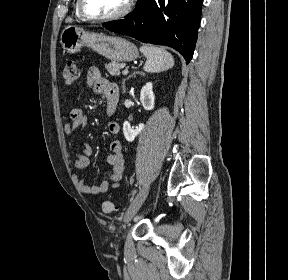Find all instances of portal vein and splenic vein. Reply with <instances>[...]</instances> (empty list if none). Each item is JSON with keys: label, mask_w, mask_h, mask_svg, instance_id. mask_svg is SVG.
<instances>
[{"label": "portal vein and splenic vein", "mask_w": 288, "mask_h": 280, "mask_svg": "<svg viewBox=\"0 0 288 280\" xmlns=\"http://www.w3.org/2000/svg\"><path fill=\"white\" fill-rule=\"evenodd\" d=\"M129 73V71L127 69L123 70L122 74L123 75H127Z\"/></svg>", "instance_id": "obj_1"}]
</instances>
